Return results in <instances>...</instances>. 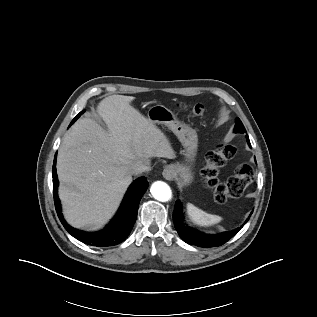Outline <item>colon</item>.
<instances>
[{
    "instance_id": "5ec220e1",
    "label": "colon",
    "mask_w": 317,
    "mask_h": 317,
    "mask_svg": "<svg viewBox=\"0 0 317 317\" xmlns=\"http://www.w3.org/2000/svg\"><path fill=\"white\" fill-rule=\"evenodd\" d=\"M193 116L201 117L204 114V106L196 104L189 108ZM236 154V148L230 144H221L215 150L208 153L206 164L201 174L204 184L212 191L213 197L218 202L229 198L240 197L245 188L252 182L253 169L247 164H241L236 168L235 175L227 182H220L219 171Z\"/></svg>"
}]
</instances>
